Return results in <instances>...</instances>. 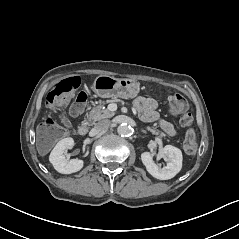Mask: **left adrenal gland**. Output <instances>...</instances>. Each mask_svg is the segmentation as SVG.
Masks as SVG:
<instances>
[{"label":"left adrenal gland","instance_id":"obj_1","mask_svg":"<svg viewBox=\"0 0 239 239\" xmlns=\"http://www.w3.org/2000/svg\"><path fill=\"white\" fill-rule=\"evenodd\" d=\"M142 132L147 133L144 129H141Z\"/></svg>","mask_w":239,"mask_h":239}]
</instances>
